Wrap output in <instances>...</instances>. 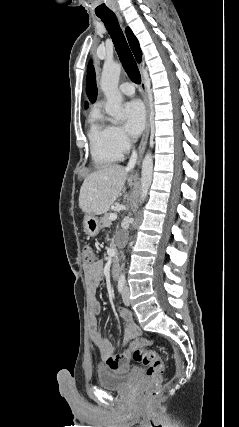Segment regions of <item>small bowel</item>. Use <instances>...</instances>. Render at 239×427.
<instances>
[{"instance_id": "small-bowel-1", "label": "small bowel", "mask_w": 239, "mask_h": 427, "mask_svg": "<svg viewBox=\"0 0 239 427\" xmlns=\"http://www.w3.org/2000/svg\"><path fill=\"white\" fill-rule=\"evenodd\" d=\"M86 281L93 296L104 278V264L101 260L84 268ZM100 312V305L93 297L90 302V326L91 338L97 347L103 361L108 369L117 373H125L130 367V355L132 352L149 344L147 339L141 338L142 331L134 322L131 313L125 308H119L118 313L125 324V340H131L128 349L125 352H118L110 341L103 337L98 331L97 315Z\"/></svg>"}]
</instances>
